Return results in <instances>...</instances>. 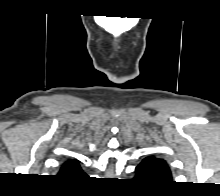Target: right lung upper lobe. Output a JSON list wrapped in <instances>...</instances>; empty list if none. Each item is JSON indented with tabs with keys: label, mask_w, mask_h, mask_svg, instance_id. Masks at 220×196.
<instances>
[{
	"label": "right lung upper lobe",
	"mask_w": 220,
	"mask_h": 196,
	"mask_svg": "<svg viewBox=\"0 0 220 196\" xmlns=\"http://www.w3.org/2000/svg\"><path fill=\"white\" fill-rule=\"evenodd\" d=\"M58 175L63 178H79L80 176L85 175V173L82 171L78 161L68 160L63 163Z\"/></svg>",
	"instance_id": "obj_1"
}]
</instances>
